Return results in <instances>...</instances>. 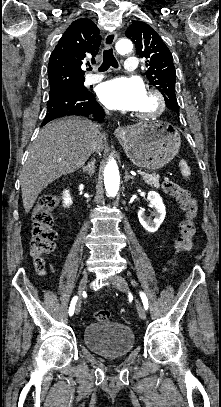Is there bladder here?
Returning <instances> with one entry per match:
<instances>
[{"label":"bladder","instance_id":"bladder-1","mask_svg":"<svg viewBox=\"0 0 221 407\" xmlns=\"http://www.w3.org/2000/svg\"><path fill=\"white\" fill-rule=\"evenodd\" d=\"M87 348L105 358H116L128 354L135 342L131 327L109 322L94 323L83 330Z\"/></svg>","mask_w":221,"mask_h":407}]
</instances>
